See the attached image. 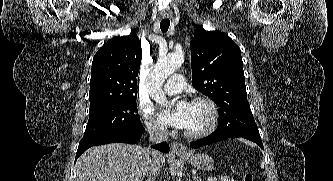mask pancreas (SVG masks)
<instances>
[{"instance_id":"obj_1","label":"pancreas","mask_w":333,"mask_h":181,"mask_svg":"<svg viewBox=\"0 0 333 181\" xmlns=\"http://www.w3.org/2000/svg\"><path fill=\"white\" fill-rule=\"evenodd\" d=\"M220 181H234V179L230 178L228 176H223V177L220 178Z\"/></svg>"}]
</instances>
